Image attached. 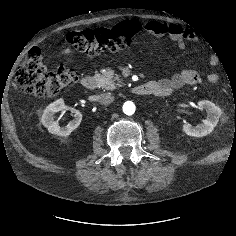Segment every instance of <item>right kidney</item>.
<instances>
[{
	"label": "right kidney",
	"instance_id": "right-kidney-1",
	"mask_svg": "<svg viewBox=\"0 0 236 236\" xmlns=\"http://www.w3.org/2000/svg\"><path fill=\"white\" fill-rule=\"evenodd\" d=\"M67 109L64 104L63 99H58L55 102L51 103L43 112L41 117L42 124L49 130L50 133L59 135V136H68L73 130H75L82 120V114L79 110L69 107L71 114L74 116V119L70 121L66 126L60 127L58 122L54 120V114Z\"/></svg>",
	"mask_w": 236,
	"mask_h": 236
}]
</instances>
